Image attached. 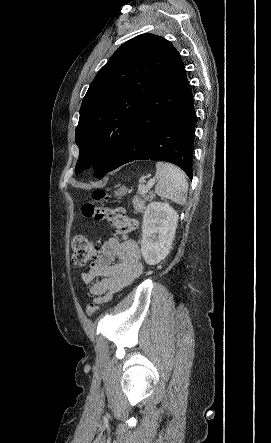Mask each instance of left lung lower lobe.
I'll list each match as a JSON object with an SVG mask.
<instances>
[{
	"instance_id": "obj_1",
	"label": "left lung lower lobe",
	"mask_w": 271,
	"mask_h": 443,
	"mask_svg": "<svg viewBox=\"0 0 271 443\" xmlns=\"http://www.w3.org/2000/svg\"><path fill=\"white\" fill-rule=\"evenodd\" d=\"M181 56L176 52L158 73L136 113L109 172L134 160L179 166L192 180L195 109Z\"/></svg>"
}]
</instances>
